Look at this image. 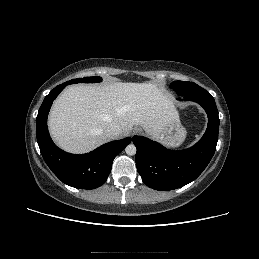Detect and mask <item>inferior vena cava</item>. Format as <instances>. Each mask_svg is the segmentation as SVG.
Returning <instances> with one entry per match:
<instances>
[{
  "label": "inferior vena cava",
  "mask_w": 259,
  "mask_h": 259,
  "mask_svg": "<svg viewBox=\"0 0 259 259\" xmlns=\"http://www.w3.org/2000/svg\"><path fill=\"white\" fill-rule=\"evenodd\" d=\"M122 129L119 125L112 124L105 130V135L110 139H116L121 134Z\"/></svg>",
  "instance_id": "602c4592"
}]
</instances>
